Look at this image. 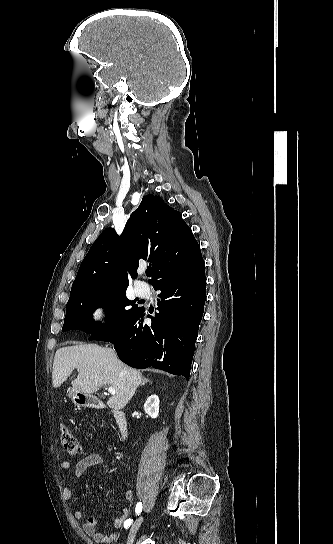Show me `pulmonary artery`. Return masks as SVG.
Wrapping results in <instances>:
<instances>
[{
	"mask_svg": "<svg viewBox=\"0 0 333 544\" xmlns=\"http://www.w3.org/2000/svg\"><path fill=\"white\" fill-rule=\"evenodd\" d=\"M135 289L139 296H145L148 293V287L144 283H137Z\"/></svg>",
	"mask_w": 333,
	"mask_h": 544,
	"instance_id": "pulmonary-artery-1",
	"label": "pulmonary artery"
}]
</instances>
